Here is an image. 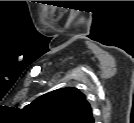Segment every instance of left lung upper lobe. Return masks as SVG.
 Wrapping results in <instances>:
<instances>
[{
	"label": "left lung upper lobe",
	"mask_w": 134,
	"mask_h": 123,
	"mask_svg": "<svg viewBox=\"0 0 134 123\" xmlns=\"http://www.w3.org/2000/svg\"><path fill=\"white\" fill-rule=\"evenodd\" d=\"M26 108L38 118L55 123H94L92 109L77 88L66 87L46 93Z\"/></svg>",
	"instance_id": "obj_1"
}]
</instances>
